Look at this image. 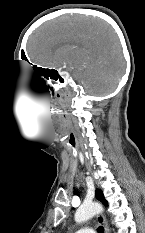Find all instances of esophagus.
Returning a JSON list of instances; mask_svg holds the SVG:
<instances>
[{
	"label": "esophagus",
	"mask_w": 145,
	"mask_h": 233,
	"mask_svg": "<svg viewBox=\"0 0 145 233\" xmlns=\"http://www.w3.org/2000/svg\"><path fill=\"white\" fill-rule=\"evenodd\" d=\"M97 221L98 223L102 224L105 230V233H110V230L108 228V224L102 214L97 215Z\"/></svg>",
	"instance_id": "1"
}]
</instances>
